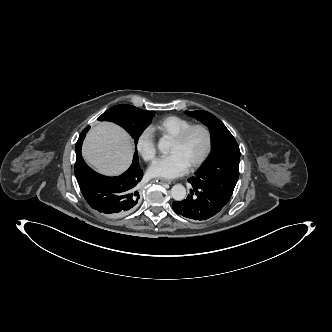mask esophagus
Segmentation results:
<instances>
[{"label":"esophagus","instance_id":"esophagus-1","mask_svg":"<svg viewBox=\"0 0 332 332\" xmlns=\"http://www.w3.org/2000/svg\"><path fill=\"white\" fill-rule=\"evenodd\" d=\"M155 182H157L159 184H171V181L163 179V178H157V179H155Z\"/></svg>","mask_w":332,"mask_h":332}]
</instances>
